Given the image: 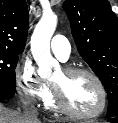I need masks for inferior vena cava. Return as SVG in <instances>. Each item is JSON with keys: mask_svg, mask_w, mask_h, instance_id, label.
I'll return each instance as SVG.
<instances>
[{"mask_svg": "<svg viewBox=\"0 0 118 123\" xmlns=\"http://www.w3.org/2000/svg\"><path fill=\"white\" fill-rule=\"evenodd\" d=\"M23 114L26 118L35 120L38 116V110L33 104L29 105L25 103L23 105Z\"/></svg>", "mask_w": 118, "mask_h": 123, "instance_id": "obj_1", "label": "inferior vena cava"}]
</instances>
